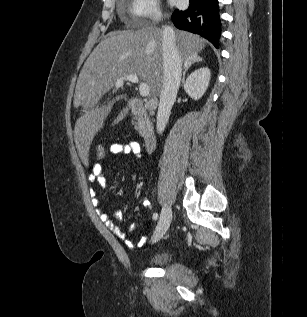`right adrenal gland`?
<instances>
[{
    "label": "right adrenal gland",
    "instance_id": "1",
    "mask_svg": "<svg viewBox=\"0 0 307 317\" xmlns=\"http://www.w3.org/2000/svg\"><path fill=\"white\" fill-rule=\"evenodd\" d=\"M202 57L196 55L188 60H185L184 61V71H183V76H182V80H181V83L184 84V81H185V75H186V72L187 70L194 64V63H199V62H202Z\"/></svg>",
    "mask_w": 307,
    "mask_h": 317
}]
</instances>
